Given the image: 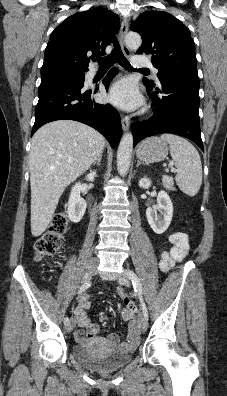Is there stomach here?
<instances>
[{
	"label": "stomach",
	"mask_w": 227,
	"mask_h": 396,
	"mask_svg": "<svg viewBox=\"0 0 227 396\" xmlns=\"http://www.w3.org/2000/svg\"><path fill=\"white\" fill-rule=\"evenodd\" d=\"M168 146L165 141L157 137L144 140L136 151L137 158L143 162L155 163L166 158Z\"/></svg>",
	"instance_id": "0dacf381"
}]
</instances>
